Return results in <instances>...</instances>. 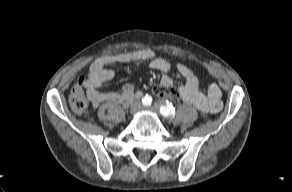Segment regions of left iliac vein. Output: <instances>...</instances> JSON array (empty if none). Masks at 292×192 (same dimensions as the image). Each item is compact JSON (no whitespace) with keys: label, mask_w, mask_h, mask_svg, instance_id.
Returning a JSON list of instances; mask_svg holds the SVG:
<instances>
[{"label":"left iliac vein","mask_w":292,"mask_h":192,"mask_svg":"<svg viewBox=\"0 0 292 192\" xmlns=\"http://www.w3.org/2000/svg\"><path fill=\"white\" fill-rule=\"evenodd\" d=\"M146 110L148 111H151L153 113H158V107L156 106H151V107H148V108H145Z\"/></svg>","instance_id":"4c4485c4"}]
</instances>
